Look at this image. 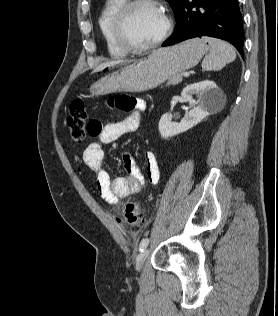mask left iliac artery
Segmentation results:
<instances>
[{
  "mask_svg": "<svg viewBox=\"0 0 278 316\" xmlns=\"http://www.w3.org/2000/svg\"><path fill=\"white\" fill-rule=\"evenodd\" d=\"M148 243H149V238H143L140 242L139 250L143 252V250L147 247Z\"/></svg>",
  "mask_w": 278,
  "mask_h": 316,
  "instance_id": "obj_1",
  "label": "left iliac artery"
}]
</instances>
